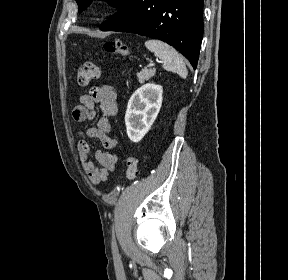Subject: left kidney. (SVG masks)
<instances>
[{
	"label": "left kidney",
	"instance_id": "left-kidney-1",
	"mask_svg": "<svg viewBox=\"0 0 288 280\" xmlns=\"http://www.w3.org/2000/svg\"><path fill=\"white\" fill-rule=\"evenodd\" d=\"M162 93V86L147 83L137 89L129 99L125 124L131 141H141L150 130L162 105Z\"/></svg>",
	"mask_w": 288,
	"mask_h": 280
}]
</instances>
